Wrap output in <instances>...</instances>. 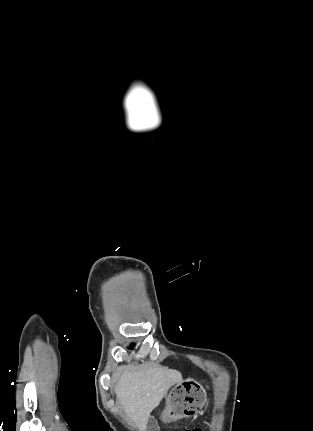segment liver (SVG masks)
<instances>
[{
    "instance_id": "obj_1",
    "label": "liver",
    "mask_w": 313,
    "mask_h": 431,
    "mask_svg": "<svg viewBox=\"0 0 313 431\" xmlns=\"http://www.w3.org/2000/svg\"><path fill=\"white\" fill-rule=\"evenodd\" d=\"M115 386L117 401L140 431L146 429L151 412L160 404L174 384L182 382L177 370L164 367L145 368L137 371L120 369Z\"/></svg>"
}]
</instances>
